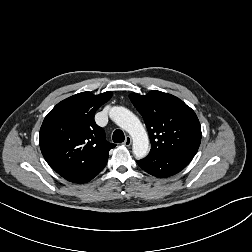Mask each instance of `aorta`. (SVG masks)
I'll return each mask as SVG.
<instances>
[{"label":"aorta","mask_w":252,"mask_h":252,"mask_svg":"<svg viewBox=\"0 0 252 252\" xmlns=\"http://www.w3.org/2000/svg\"><path fill=\"white\" fill-rule=\"evenodd\" d=\"M110 117L133 139V153L136 158H144L149 151V139L140 120L127 108L117 106L110 110Z\"/></svg>","instance_id":"762f6f07"}]
</instances>
